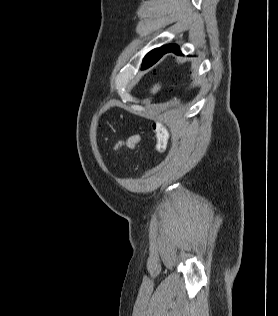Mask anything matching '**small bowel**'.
Masks as SVG:
<instances>
[{
    "label": "small bowel",
    "mask_w": 278,
    "mask_h": 316,
    "mask_svg": "<svg viewBox=\"0 0 278 316\" xmlns=\"http://www.w3.org/2000/svg\"><path fill=\"white\" fill-rule=\"evenodd\" d=\"M141 136L139 134H134L128 137L126 140L119 141L116 145V149H128L133 150L137 144L140 142Z\"/></svg>",
    "instance_id": "small-bowel-1"
}]
</instances>
